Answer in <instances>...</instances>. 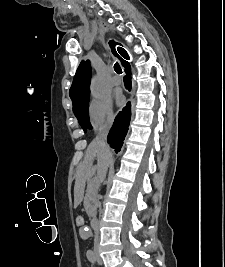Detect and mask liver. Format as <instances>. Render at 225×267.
<instances>
[{
    "label": "liver",
    "instance_id": "1",
    "mask_svg": "<svg viewBox=\"0 0 225 267\" xmlns=\"http://www.w3.org/2000/svg\"><path fill=\"white\" fill-rule=\"evenodd\" d=\"M111 157L112 155L106 154L95 142V140L89 144L84 160L79 164L76 172V182L74 187V207H77L83 199L86 179L90 178L94 172V159L97 158L96 170L98 176L105 167H108Z\"/></svg>",
    "mask_w": 225,
    "mask_h": 267
}]
</instances>
